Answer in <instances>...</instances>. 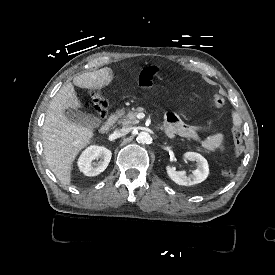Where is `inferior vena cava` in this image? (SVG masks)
<instances>
[{
	"label": "inferior vena cava",
	"mask_w": 275,
	"mask_h": 275,
	"mask_svg": "<svg viewBox=\"0 0 275 275\" xmlns=\"http://www.w3.org/2000/svg\"><path fill=\"white\" fill-rule=\"evenodd\" d=\"M131 131V128L128 127H123L121 129H117L114 131V136L115 137H122L127 135Z\"/></svg>",
	"instance_id": "1"
}]
</instances>
